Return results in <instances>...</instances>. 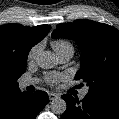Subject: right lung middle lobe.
<instances>
[{"label":"right lung middle lobe","instance_id":"obj_1","mask_svg":"<svg viewBox=\"0 0 119 119\" xmlns=\"http://www.w3.org/2000/svg\"><path fill=\"white\" fill-rule=\"evenodd\" d=\"M26 60L27 57L23 60L22 65H21V74H23L26 70Z\"/></svg>","mask_w":119,"mask_h":119}]
</instances>
